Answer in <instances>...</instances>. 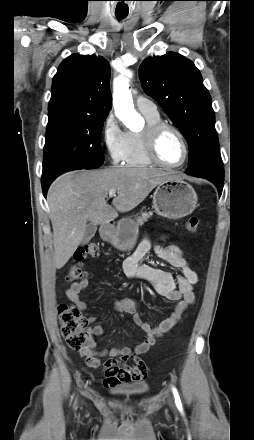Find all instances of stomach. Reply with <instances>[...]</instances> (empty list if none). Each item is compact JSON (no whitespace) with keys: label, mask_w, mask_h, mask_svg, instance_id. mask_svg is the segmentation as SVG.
I'll use <instances>...</instances> for the list:
<instances>
[{"label":"stomach","mask_w":254,"mask_h":440,"mask_svg":"<svg viewBox=\"0 0 254 440\" xmlns=\"http://www.w3.org/2000/svg\"><path fill=\"white\" fill-rule=\"evenodd\" d=\"M197 194L193 187L178 177L161 182L153 195L156 213L168 219H180L190 215L197 206ZM103 238L115 248L130 250L137 239L138 227L129 218L121 219L115 228L105 232Z\"/></svg>","instance_id":"0dacf381"}]
</instances>
